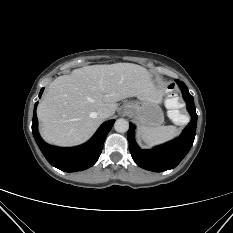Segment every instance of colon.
Masks as SVG:
<instances>
[{
  "instance_id": "colon-1",
  "label": "colon",
  "mask_w": 233,
  "mask_h": 233,
  "mask_svg": "<svg viewBox=\"0 0 233 233\" xmlns=\"http://www.w3.org/2000/svg\"><path fill=\"white\" fill-rule=\"evenodd\" d=\"M174 86L169 87V94L166 99V106L170 118L176 123H183L185 116L181 111L180 102L176 94L173 93Z\"/></svg>"
}]
</instances>
